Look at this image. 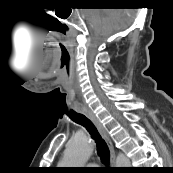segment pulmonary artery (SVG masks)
Returning <instances> with one entry per match:
<instances>
[{
	"label": "pulmonary artery",
	"instance_id": "1",
	"mask_svg": "<svg viewBox=\"0 0 173 173\" xmlns=\"http://www.w3.org/2000/svg\"><path fill=\"white\" fill-rule=\"evenodd\" d=\"M93 165H89V169H92Z\"/></svg>",
	"mask_w": 173,
	"mask_h": 173
}]
</instances>
